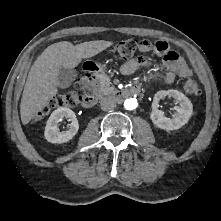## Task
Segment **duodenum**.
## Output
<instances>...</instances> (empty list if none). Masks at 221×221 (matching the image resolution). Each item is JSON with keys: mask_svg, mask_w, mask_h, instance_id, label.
Returning a JSON list of instances; mask_svg holds the SVG:
<instances>
[{"mask_svg": "<svg viewBox=\"0 0 221 221\" xmlns=\"http://www.w3.org/2000/svg\"><path fill=\"white\" fill-rule=\"evenodd\" d=\"M87 73L91 75L92 77H95L97 75V68L95 66H91L87 69ZM139 93H140V88L138 86H133L126 90L117 91L114 94V96L118 100H123L127 97L137 95ZM97 101H98V97L96 95L90 94V95H87L83 99L82 104L84 107H92L93 105L97 103Z\"/></svg>", "mask_w": 221, "mask_h": 221, "instance_id": "obj_1", "label": "duodenum"}]
</instances>
